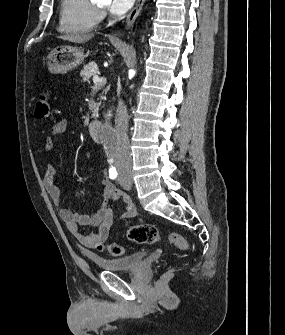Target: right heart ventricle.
<instances>
[{"mask_svg": "<svg viewBox=\"0 0 285 335\" xmlns=\"http://www.w3.org/2000/svg\"><path fill=\"white\" fill-rule=\"evenodd\" d=\"M99 21L97 1H64L60 31L80 36L93 31Z\"/></svg>", "mask_w": 285, "mask_h": 335, "instance_id": "obj_1", "label": "right heart ventricle"}]
</instances>
